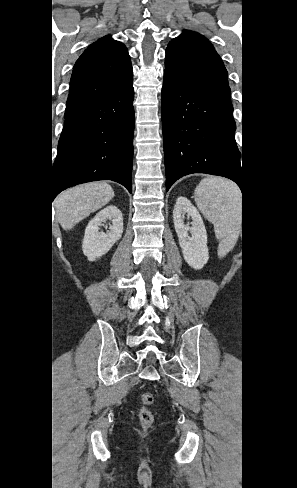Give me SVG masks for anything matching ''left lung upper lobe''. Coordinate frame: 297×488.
Masks as SVG:
<instances>
[{
    "label": "left lung upper lobe",
    "instance_id": "obj_1",
    "mask_svg": "<svg viewBox=\"0 0 297 488\" xmlns=\"http://www.w3.org/2000/svg\"><path fill=\"white\" fill-rule=\"evenodd\" d=\"M221 105L233 109L227 70L213 45L192 31L171 40L166 49L165 71Z\"/></svg>",
    "mask_w": 297,
    "mask_h": 488
}]
</instances>
